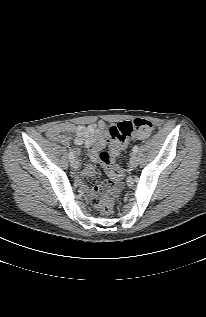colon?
<instances>
[{"label":"colon","mask_w":206,"mask_h":317,"mask_svg":"<svg viewBox=\"0 0 206 317\" xmlns=\"http://www.w3.org/2000/svg\"><path fill=\"white\" fill-rule=\"evenodd\" d=\"M153 124L146 119L135 118L133 120L122 121L109 128V138L116 147H122L128 138L137 137L140 139L148 138L153 133ZM99 160L105 165L106 171L110 177L108 182L99 186V192L102 198L98 201L101 211L109 214L113 209L112 191L119 190L122 186V170L117 167L111 155L106 151L98 152Z\"/></svg>","instance_id":"obj_1"}]
</instances>
